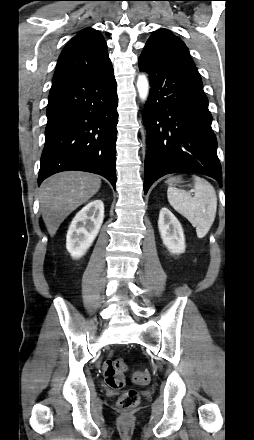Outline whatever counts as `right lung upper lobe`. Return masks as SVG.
<instances>
[{
  "mask_svg": "<svg viewBox=\"0 0 254 440\" xmlns=\"http://www.w3.org/2000/svg\"><path fill=\"white\" fill-rule=\"evenodd\" d=\"M109 64L106 41L101 33L92 28L82 29L60 54L52 85L104 69Z\"/></svg>",
  "mask_w": 254,
  "mask_h": 440,
  "instance_id": "right-lung-upper-lobe-1",
  "label": "right lung upper lobe"
}]
</instances>
